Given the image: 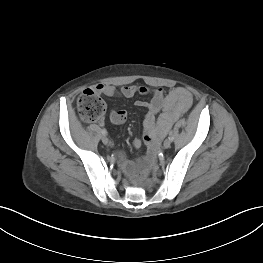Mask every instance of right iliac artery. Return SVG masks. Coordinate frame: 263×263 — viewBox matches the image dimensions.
<instances>
[{
	"instance_id": "1",
	"label": "right iliac artery",
	"mask_w": 263,
	"mask_h": 263,
	"mask_svg": "<svg viewBox=\"0 0 263 263\" xmlns=\"http://www.w3.org/2000/svg\"><path fill=\"white\" fill-rule=\"evenodd\" d=\"M101 133H102L103 135H106V134H107V131H106L105 129H102V130H101Z\"/></svg>"
}]
</instances>
